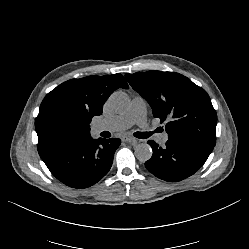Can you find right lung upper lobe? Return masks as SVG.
Returning a JSON list of instances; mask_svg holds the SVG:
<instances>
[{
    "label": "right lung upper lobe",
    "instance_id": "cb5924a9",
    "mask_svg": "<svg viewBox=\"0 0 249 249\" xmlns=\"http://www.w3.org/2000/svg\"><path fill=\"white\" fill-rule=\"evenodd\" d=\"M118 88L129 86L121 74L68 80L48 93L35 120L40 157L60 145L90 135L91 120Z\"/></svg>",
    "mask_w": 249,
    "mask_h": 249
}]
</instances>
